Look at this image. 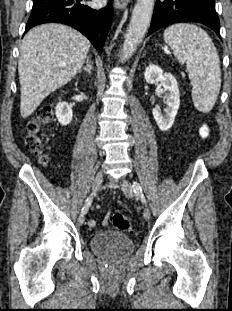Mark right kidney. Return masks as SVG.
Returning a JSON list of instances; mask_svg holds the SVG:
<instances>
[{
    "instance_id": "ca27d5eb",
    "label": "right kidney",
    "mask_w": 232,
    "mask_h": 311,
    "mask_svg": "<svg viewBox=\"0 0 232 311\" xmlns=\"http://www.w3.org/2000/svg\"><path fill=\"white\" fill-rule=\"evenodd\" d=\"M56 117L59 123L63 126L68 125L72 121L73 112L71 106L63 101H60L56 106Z\"/></svg>"
}]
</instances>
